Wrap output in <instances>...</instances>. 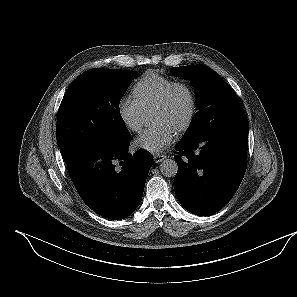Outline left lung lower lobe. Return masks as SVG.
<instances>
[{
  "instance_id": "0a47b994",
  "label": "left lung lower lobe",
  "mask_w": 297,
  "mask_h": 297,
  "mask_svg": "<svg viewBox=\"0 0 297 297\" xmlns=\"http://www.w3.org/2000/svg\"><path fill=\"white\" fill-rule=\"evenodd\" d=\"M248 131L241 116L176 145L174 189L186 210L212 215L231 200L247 167Z\"/></svg>"
}]
</instances>
